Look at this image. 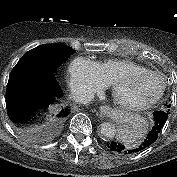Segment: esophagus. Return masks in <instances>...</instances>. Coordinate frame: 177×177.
I'll return each instance as SVG.
<instances>
[{
  "label": "esophagus",
  "instance_id": "obj_1",
  "mask_svg": "<svg viewBox=\"0 0 177 177\" xmlns=\"http://www.w3.org/2000/svg\"><path fill=\"white\" fill-rule=\"evenodd\" d=\"M113 112V109L108 106H101L100 107V114L101 116H110Z\"/></svg>",
  "mask_w": 177,
  "mask_h": 177
}]
</instances>
